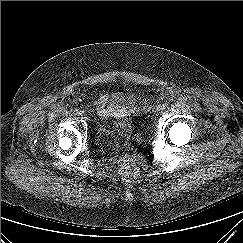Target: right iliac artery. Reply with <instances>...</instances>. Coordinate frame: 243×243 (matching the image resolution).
<instances>
[{
	"mask_svg": "<svg viewBox=\"0 0 243 243\" xmlns=\"http://www.w3.org/2000/svg\"><path fill=\"white\" fill-rule=\"evenodd\" d=\"M80 113H81V112H80L79 109H75V110H74V114H75V115H79Z\"/></svg>",
	"mask_w": 243,
	"mask_h": 243,
	"instance_id": "right-iliac-artery-1",
	"label": "right iliac artery"
}]
</instances>
